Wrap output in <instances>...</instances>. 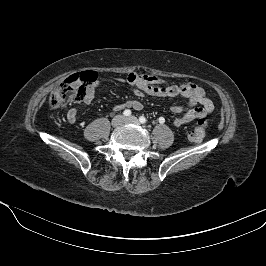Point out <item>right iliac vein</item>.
Returning <instances> with one entry per match:
<instances>
[{
	"label": "right iliac vein",
	"instance_id": "obj_1",
	"mask_svg": "<svg viewBox=\"0 0 266 266\" xmlns=\"http://www.w3.org/2000/svg\"><path fill=\"white\" fill-rule=\"evenodd\" d=\"M125 121V118L123 115H117L112 119V126L113 127H118L119 125H121L123 122Z\"/></svg>",
	"mask_w": 266,
	"mask_h": 266
}]
</instances>
